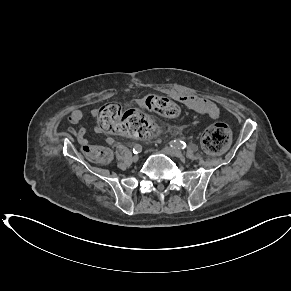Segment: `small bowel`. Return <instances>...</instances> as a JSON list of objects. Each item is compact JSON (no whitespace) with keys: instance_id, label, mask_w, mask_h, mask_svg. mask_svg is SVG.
<instances>
[{"instance_id":"1","label":"small bowel","mask_w":291,"mask_h":291,"mask_svg":"<svg viewBox=\"0 0 291 291\" xmlns=\"http://www.w3.org/2000/svg\"><path fill=\"white\" fill-rule=\"evenodd\" d=\"M178 99L182 104L198 114L206 116L210 119H217L219 117L220 110L218 106L208 98L186 94L179 96ZM95 114L96 111L93 110L92 115ZM83 118L84 113L79 109H75L68 116L67 120L69 124L75 126L79 124ZM95 131L98 133L100 132V129L96 128ZM69 132L76 137L80 145L85 146L88 144L87 131L85 128L76 129L71 127L69 128ZM113 142L114 140L112 138H107V143L112 144Z\"/></svg>"}]
</instances>
